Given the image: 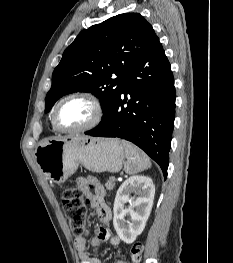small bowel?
I'll list each match as a JSON object with an SVG mask.
<instances>
[{
    "mask_svg": "<svg viewBox=\"0 0 233 263\" xmlns=\"http://www.w3.org/2000/svg\"><path fill=\"white\" fill-rule=\"evenodd\" d=\"M92 183L95 192L89 190V184ZM78 187L84 193L91 207L96 210V215L101 223H108L111 219V210L105 201L106 192L103 186L95 179L88 180L81 178L78 180ZM101 242H109L113 246L120 244L121 240L117 235H112L111 232L105 227H99L95 230L93 237L90 240V246L93 249L98 248ZM75 248L81 260V263H101V261L88 253L89 241L87 234L77 237L74 241ZM114 263H128L124 259H118Z\"/></svg>",
    "mask_w": 233,
    "mask_h": 263,
    "instance_id": "small-bowel-1",
    "label": "small bowel"
}]
</instances>
